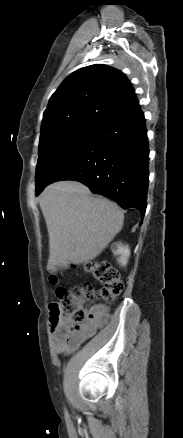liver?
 I'll use <instances>...</instances> for the list:
<instances>
[{
  "label": "liver",
  "instance_id": "obj_1",
  "mask_svg": "<svg viewBox=\"0 0 183 438\" xmlns=\"http://www.w3.org/2000/svg\"><path fill=\"white\" fill-rule=\"evenodd\" d=\"M40 207L49 234L48 270L67 268L96 258L123 227L120 207L94 197L77 181H59L46 187Z\"/></svg>",
  "mask_w": 183,
  "mask_h": 438
}]
</instances>
